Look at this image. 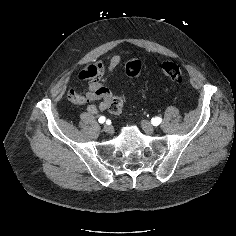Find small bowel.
Here are the masks:
<instances>
[{"instance_id":"1","label":"small bowel","mask_w":236,"mask_h":236,"mask_svg":"<svg viewBox=\"0 0 236 236\" xmlns=\"http://www.w3.org/2000/svg\"><path fill=\"white\" fill-rule=\"evenodd\" d=\"M122 63L120 55H113L107 67L102 61L98 60L93 64L85 66L79 73V79L88 81V91L86 97L89 101H98V104H89L87 112L96 114L98 111H104L112 99L111 91L105 86L107 79L118 69Z\"/></svg>"}]
</instances>
